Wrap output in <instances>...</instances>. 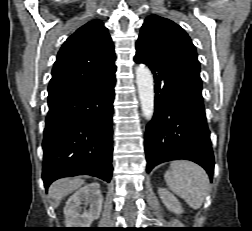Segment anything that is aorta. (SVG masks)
I'll return each mask as SVG.
<instances>
[{"instance_id": "obj_1", "label": "aorta", "mask_w": 252, "mask_h": 231, "mask_svg": "<svg viewBox=\"0 0 252 231\" xmlns=\"http://www.w3.org/2000/svg\"><path fill=\"white\" fill-rule=\"evenodd\" d=\"M136 83L143 116L151 120L154 114V85L152 73L145 65L136 68Z\"/></svg>"}]
</instances>
